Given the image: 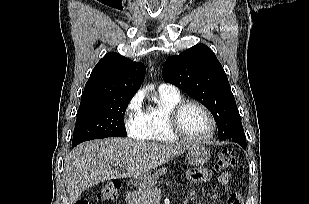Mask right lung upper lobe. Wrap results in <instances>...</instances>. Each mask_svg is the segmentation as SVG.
<instances>
[{
    "mask_svg": "<svg viewBox=\"0 0 309 204\" xmlns=\"http://www.w3.org/2000/svg\"><path fill=\"white\" fill-rule=\"evenodd\" d=\"M145 66L114 52L106 54L93 69L82 94V103L93 100L132 98L145 76Z\"/></svg>",
    "mask_w": 309,
    "mask_h": 204,
    "instance_id": "1",
    "label": "right lung upper lobe"
}]
</instances>
